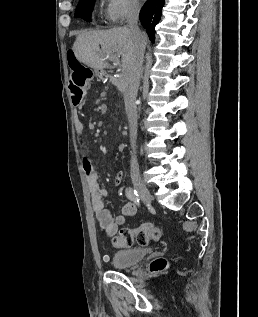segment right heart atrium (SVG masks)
Returning <instances> with one entry per match:
<instances>
[{
	"instance_id": "obj_1",
	"label": "right heart atrium",
	"mask_w": 258,
	"mask_h": 317,
	"mask_svg": "<svg viewBox=\"0 0 258 317\" xmlns=\"http://www.w3.org/2000/svg\"><path fill=\"white\" fill-rule=\"evenodd\" d=\"M138 4L135 0H108L104 8V18L108 26H122L135 14Z\"/></svg>"
}]
</instances>
